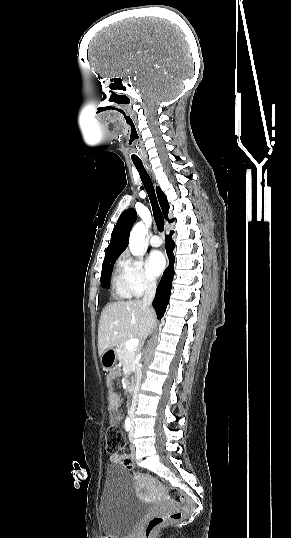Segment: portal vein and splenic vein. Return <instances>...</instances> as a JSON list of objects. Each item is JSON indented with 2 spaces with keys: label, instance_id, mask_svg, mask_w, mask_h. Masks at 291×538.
I'll list each match as a JSON object with an SVG mask.
<instances>
[{
  "label": "portal vein and splenic vein",
  "instance_id": "obj_1",
  "mask_svg": "<svg viewBox=\"0 0 291 538\" xmlns=\"http://www.w3.org/2000/svg\"><path fill=\"white\" fill-rule=\"evenodd\" d=\"M139 345V339L138 338H132L126 342V347L128 349H135Z\"/></svg>",
  "mask_w": 291,
  "mask_h": 538
}]
</instances>
